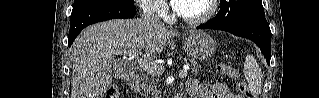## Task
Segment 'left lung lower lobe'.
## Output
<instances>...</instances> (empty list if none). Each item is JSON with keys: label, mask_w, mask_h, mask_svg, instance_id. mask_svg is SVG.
<instances>
[{"label": "left lung lower lobe", "mask_w": 319, "mask_h": 98, "mask_svg": "<svg viewBox=\"0 0 319 98\" xmlns=\"http://www.w3.org/2000/svg\"><path fill=\"white\" fill-rule=\"evenodd\" d=\"M197 29H218L228 31L236 36L250 39L260 47L267 63L270 64L271 31L265 17L235 25L214 26L206 23L205 25L198 26Z\"/></svg>", "instance_id": "1"}]
</instances>
